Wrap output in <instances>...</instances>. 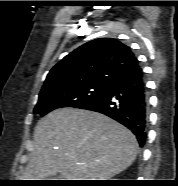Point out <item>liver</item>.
<instances>
[{"mask_svg":"<svg viewBox=\"0 0 178 186\" xmlns=\"http://www.w3.org/2000/svg\"><path fill=\"white\" fill-rule=\"evenodd\" d=\"M33 152L24 180H108L136 159L133 133L113 119L77 108L56 109L34 130Z\"/></svg>","mask_w":178,"mask_h":186,"instance_id":"6515ba94","label":"liver"}]
</instances>
